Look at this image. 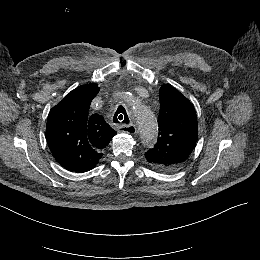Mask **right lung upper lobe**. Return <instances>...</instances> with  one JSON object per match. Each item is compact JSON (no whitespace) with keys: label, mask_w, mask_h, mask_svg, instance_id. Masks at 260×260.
<instances>
[{"label":"right lung upper lobe","mask_w":260,"mask_h":260,"mask_svg":"<svg viewBox=\"0 0 260 260\" xmlns=\"http://www.w3.org/2000/svg\"><path fill=\"white\" fill-rule=\"evenodd\" d=\"M98 91L95 84L77 87L49 113L47 143L56 161L67 170L93 169L116 134L101 115L88 112Z\"/></svg>","instance_id":"right-lung-upper-lobe-1"}]
</instances>
